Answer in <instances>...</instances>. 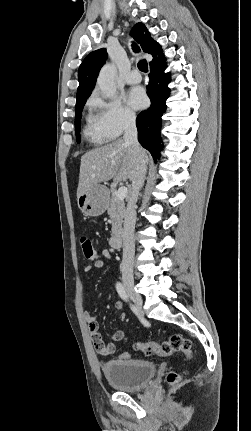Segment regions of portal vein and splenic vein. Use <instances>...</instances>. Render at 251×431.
Returning a JSON list of instances; mask_svg holds the SVG:
<instances>
[{
    "instance_id": "portal-vein-and-splenic-vein-1",
    "label": "portal vein and splenic vein",
    "mask_w": 251,
    "mask_h": 431,
    "mask_svg": "<svg viewBox=\"0 0 251 431\" xmlns=\"http://www.w3.org/2000/svg\"><path fill=\"white\" fill-rule=\"evenodd\" d=\"M128 194V189L125 186H122L118 189V191L116 192V197L119 200H124L126 198Z\"/></svg>"
}]
</instances>
